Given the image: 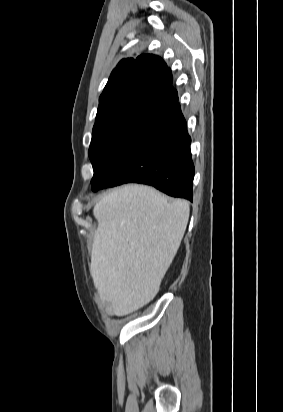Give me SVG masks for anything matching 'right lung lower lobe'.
Masks as SVG:
<instances>
[{"label": "right lung lower lobe", "mask_w": 283, "mask_h": 412, "mask_svg": "<svg viewBox=\"0 0 283 412\" xmlns=\"http://www.w3.org/2000/svg\"><path fill=\"white\" fill-rule=\"evenodd\" d=\"M170 69L164 68V77ZM191 138L178 100L92 184V190L124 183L152 185L174 197L193 199Z\"/></svg>", "instance_id": "98d812e1"}]
</instances>
